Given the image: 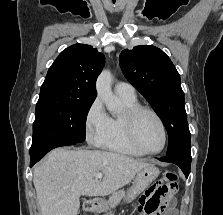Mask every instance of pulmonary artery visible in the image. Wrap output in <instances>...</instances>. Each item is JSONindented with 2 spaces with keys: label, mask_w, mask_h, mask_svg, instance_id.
I'll return each instance as SVG.
<instances>
[{
  "label": "pulmonary artery",
  "mask_w": 223,
  "mask_h": 215,
  "mask_svg": "<svg viewBox=\"0 0 223 215\" xmlns=\"http://www.w3.org/2000/svg\"><path fill=\"white\" fill-rule=\"evenodd\" d=\"M114 91L118 96L122 98H127L131 100L136 99L135 90L129 83L117 82L114 86Z\"/></svg>",
  "instance_id": "1"
}]
</instances>
